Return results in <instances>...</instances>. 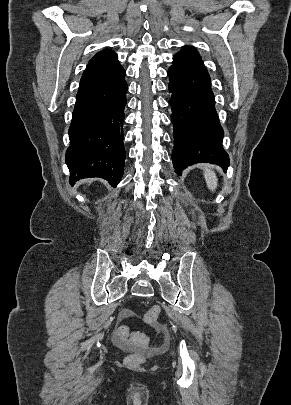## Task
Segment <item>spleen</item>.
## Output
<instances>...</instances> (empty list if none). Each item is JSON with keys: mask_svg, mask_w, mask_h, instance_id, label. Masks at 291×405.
<instances>
[{"mask_svg": "<svg viewBox=\"0 0 291 405\" xmlns=\"http://www.w3.org/2000/svg\"><path fill=\"white\" fill-rule=\"evenodd\" d=\"M204 177L209 190L214 191L217 188L218 179L216 174L210 170L208 166L205 167Z\"/></svg>", "mask_w": 291, "mask_h": 405, "instance_id": "1", "label": "spleen"}]
</instances>
